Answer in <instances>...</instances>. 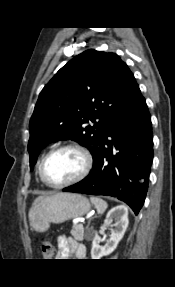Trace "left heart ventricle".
Here are the masks:
<instances>
[{
    "instance_id": "left-heart-ventricle-1",
    "label": "left heart ventricle",
    "mask_w": 175,
    "mask_h": 287,
    "mask_svg": "<svg viewBox=\"0 0 175 287\" xmlns=\"http://www.w3.org/2000/svg\"><path fill=\"white\" fill-rule=\"evenodd\" d=\"M83 165L84 160L80 153L64 149L50 156L45 166V174L50 182L60 184L77 176Z\"/></svg>"
}]
</instances>
